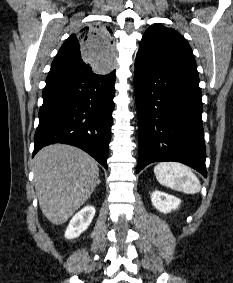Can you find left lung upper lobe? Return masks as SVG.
<instances>
[{"mask_svg":"<svg viewBox=\"0 0 233 283\" xmlns=\"http://www.w3.org/2000/svg\"><path fill=\"white\" fill-rule=\"evenodd\" d=\"M138 54L157 61H185L196 64L185 38L174 29L160 24L148 28L141 40Z\"/></svg>","mask_w":233,"mask_h":283,"instance_id":"obj_1","label":"left lung upper lobe"}]
</instances>
